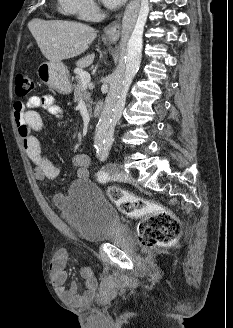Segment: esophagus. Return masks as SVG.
Wrapping results in <instances>:
<instances>
[{
	"instance_id": "esophagus-1",
	"label": "esophagus",
	"mask_w": 233,
	"mask_h": 328,
	"mask_svg": "<svg viewBox=\"0 0 233 328\" xmlns=\"http://www.w3.org/2000/svg\"><path fill=\"white\" fill-rule=\"evenodd\" d=\"M120 30L121 14L117 15L116 18L104 28V37L108 40L116 41L120 36Z\"/></svg>"
}]
</instances>
